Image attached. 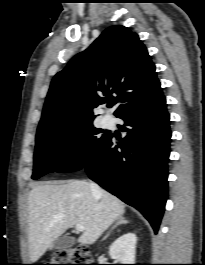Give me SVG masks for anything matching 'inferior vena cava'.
I'll use <instances>...</instances> for the list:
<instances>
[{
	"mask_svg": "<svg viewBox=\"0 0 205 265\" xmlns=\"http://www.w3.org/2000/svg\"><path fill=\"white\" fill-rule=\"evenodd\" d=\"M90 186H91V189H92L93 193H99L100 192V188H99V186L97 184L91 182Z\"/></svg>",
	"mask_w": 205,
	"mask_h": 265,
	"instance_id": "inferior-vena-cava-1",
	"label": "inferior vena cava"
}]
</instances>
